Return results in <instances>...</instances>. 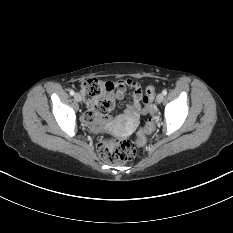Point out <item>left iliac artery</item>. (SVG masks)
<instances>
[{
    "label": "left iliac artery",
    "instance_id": "obj_1",
    "mask_svg": "<svg viewBox=\"0 0 233 233\" xmlns=\"http://www.w3.org/2000/svg\"><path fill=\"white\" fill-rule=\"evenodd\" d=\"M162 94L166 95L167 94V90H163Z\"/></svg>",
    "mask_w": 233,
    "mask_h": 233
}]
</instances>
